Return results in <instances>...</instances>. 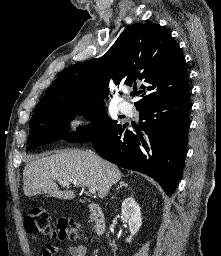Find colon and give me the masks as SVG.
I'll return each instance as SVG.
<instances>
[{
	"label": "colon",
	"mask_w": 221,
	"mask_h": 256,
	"mask_svg": "<svg viewBox=\"0 0 221 256\" xmlns=\"http://www.w3.org/2000/svg\"><path fill=\"white\" fill-rule=\"evenodd\" d=\"M25 225L30 232L51 234L60 240L77 238L78 224L68 219L58 221V229H53L49 212L43 207H35L25 218Z\"/></svg>",
	"instance_id": "1"
}]
</instances>
